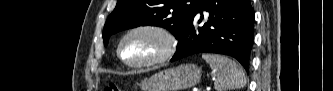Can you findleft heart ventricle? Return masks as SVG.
<instances>
[{"label": "left heart ventricle", "instance_id": "b2bd125f", "mask_svg": "<svg viewBox=\"0 0 333 91\" xmlns=\"http://www.w3.org/2000/svg\"><path fill=\"white\" fill-rule=\"evenodd\" d=\"M162 50L163 42L158 36L147 32H138L125 41L123 55L129 62H140L157 57Z\"/></svg>", "mask_w": 333, "mask_h": 91}]
</instances>
